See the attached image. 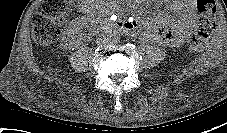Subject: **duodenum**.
I'll return each instance as SVG.
<instances>
[{
    "label": "duodenum",
    "instance_id": "duodenum-1",
    "mask_svg": "<svg viewBox=\"0 0 227 133\" xmlns=\"http://www.w3.org/2000/svg\"><path fill=\"white\" fill-rule=\"evenodd\" d=\"M101 26L104 31L128 30V26L123 21L111 18L104 20Z\"/></svg>",
    "mask_w": 227,
    "mask_h": 133
}]
</instances>
